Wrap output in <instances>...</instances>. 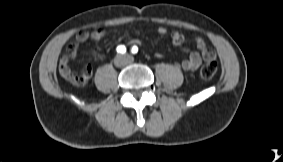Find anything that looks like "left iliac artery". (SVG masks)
<instances>
[{
  "mask_svg": "<svg viewBox=\"0 0 283 162\" xmlns=\"http://www.w3.org/2000/svg\"><path fill=\"white\" fill-rule=\"evenodd\" d=\"M133 54H136L138 52V47L137 46H133L131 49Z\"/></svg>",
  "mask_w": 283,
  "mask_h": 162,
  "instance_id": "obj_1",
  "label": "left iliac artery"
}]
</instances>
